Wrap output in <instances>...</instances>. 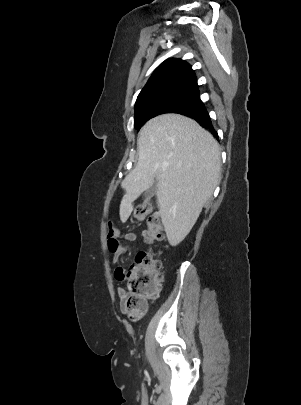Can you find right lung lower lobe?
I'll return each instance as SVG.
<instances>
[{
	"instance_id": "right-lung-lower-lobe-1",
	"label": "right lung lower lobe",
	"mask_w": 301,
	"mask_h": 405,
	"mask_svg": "<svg viewBox=\"0 0 301 405\" xmlns=\"http://www.w3.org/2000/svg\"><path fill=\"white\" fill-rule=\"evenodd\" d=\"M180 114L195 119L203 128L209 130L217 139V132L214 130L209 114L205 108L189 110Z\"/></svg>"
}]
</instances>
